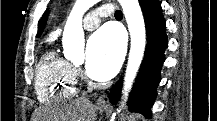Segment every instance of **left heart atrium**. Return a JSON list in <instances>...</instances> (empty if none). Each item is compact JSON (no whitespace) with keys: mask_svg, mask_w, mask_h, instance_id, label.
I'll use <instances>...</instances> for the list:
<instances>
[{"mask_svg":"<svg viewBox=\"0 0 217 121\" xmlns=\"http://www.w3.org/2000/svg\"><path fill=\"white\" fill-rule=\"evenodd\" d=\"M125 50L121 31L107 25L91 36L87 45L86 70L96 80H107L119 69Z\"/></svg>","mask_w":217,"mask_h":121,"instance_id":"left-heart-atrium-1","label":"left heart atrium"}]
</instances>
